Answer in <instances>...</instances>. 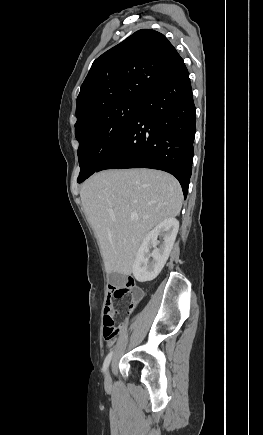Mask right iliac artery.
<instances>
[{"instance_id":"82829eb1","label":"right iliac artery","mask_w":263,"mask_h":435,"mask_svg":"<svg viewBox=\"0 0 263 435\" xmlns=\"http://www.w3.org/2000/svg\"><path fill=\"white\" fill-rule=\"evenodd\" d=\"M112 355H113V351H111L108 355H107V357L105 358V360H104V363H103V372L105 373L106 371H107V369H108V366H109V364H110V361H111V359H112Z\"/></svg>"}]
</instances>
